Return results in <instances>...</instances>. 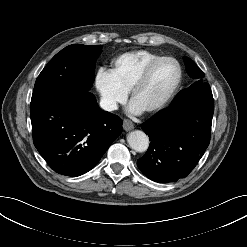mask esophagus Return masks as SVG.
I'll use <instances>...</instances> for the list:
<instances>
[{
    "label": "esophagus",
    "instance_id": "obj_1",
    "mask_svg": "<svg viewBox=\"0 0 247 247\" xmlns=\"http://www.w3.org/2000/svg\"><path fill=\"white\" fill-rule=\"evenodd\" d=\"M134 128V124L132 121L128 120V119H124L123 120V129L125 131H130Z\"/></svg>",
    "mask_w": 247,
    "mask_h": 247
}]
</instances>
